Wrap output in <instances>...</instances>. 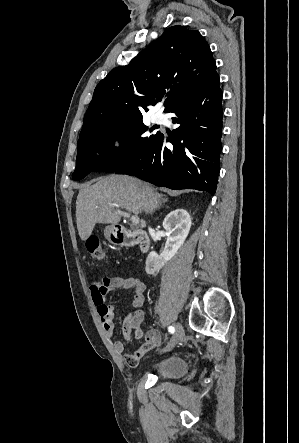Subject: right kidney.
<instances>
[{
  "label": "right kidney",
  "mask_w": 299,
  "mask_h": 443,
  "mask_svg": "<svg viewBox=\"0 0 299 443\" xmlns=\"http://www.w3.org/2000/svg\"><path fill=\"white\" fill-rule=\"evenodd\" d=\"M191 224L190 215L184 209H176L165 217L163 228L168 232L165 248L160 256L155 251L148 254L145 267L147 274L155 275L174 257L188 236Z\"/></svg>",
  "instance_id": "right-kidney-1"
}]
</instances>
